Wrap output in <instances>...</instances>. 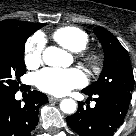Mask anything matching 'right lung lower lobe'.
<instances>
[{
	"label": "right lung lower lobe",
	"mask_w": 136,
	"mask_h": 136,
	"mask_svg": "<svg viewBox=\"0 0 136 136\" xmlns=\"http://www.w3.org/2000/svg\"><path fill=\"white\" fill-rule=\"evenodd\" d=\"M15 93L0 94V136H27L38 123L39 107L48 102L45 94L29 91L21 105Z\"/></svg>",
	"instance_id": "right-lung-lower-lobe-1"
}]
</instances>
